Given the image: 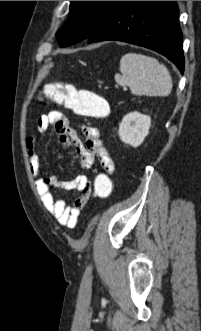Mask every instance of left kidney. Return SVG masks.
<instances>
[{
  "label": "left kidney",
  "instance_id": "1",
  "mask_svg": "<svg viewBox=\"0 0 201 331\" xmlns=\"http://www.w3.org/2000/svg\"><path fill=\"white\" fill-rule=\"evenodd\" d=\"M151 118L139 112L127 114L119 125V137L132 147L140 146L149 133Z\"/></svg>",
  "mask_w": 201,
  "mask_h": 331
}]
</instances>
